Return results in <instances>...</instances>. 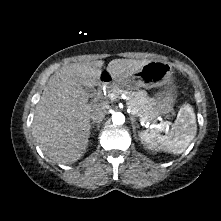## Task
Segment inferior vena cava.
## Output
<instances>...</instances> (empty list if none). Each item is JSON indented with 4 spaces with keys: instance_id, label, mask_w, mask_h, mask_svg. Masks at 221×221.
Segmentation results:
<instances>
[{
    "instance_id": "obj_1",
    "label": "inferior vena cava",
    "mask_w": 221,
    "mask_h": 221,
    "mask_svg": "<svg viewBox=\"0 0 221 221\" xmlns=\"http://www.w3.org/2000/svg\"><path fill=\"white\" fill-rule=\"evenodd\" d=\"M108 106L105 104H96L94 105L90 118L93 120V122H100L105 117V114L107 112Z\"/></svg>"
}]
</instances>
